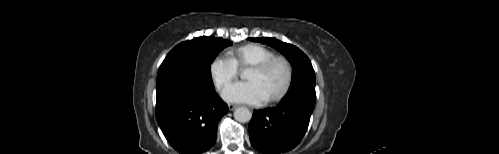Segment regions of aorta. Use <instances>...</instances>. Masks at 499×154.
<instances>
[{
    "label": "aorta",
    "instance_id": "1",
    "mask_svg": "<svg viewBox=\"0 0 499 154\" xmlns=\"http://www.w3.org/2000/svg\"><path fill=\"white\" fill-rule=\"evenodd\" d=\"M234 118L238 122H249L252 118L251 111L246 107H239L234 111Z\"/></svg>",
    "mask_w": 499,
    "mask_h": 154
}]
</instances>
